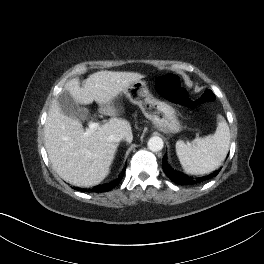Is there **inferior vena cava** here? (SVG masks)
<instances>
[{
    "mask_svg": "<svg viewBox=\"0 0 264 264\" xmlns=\"http://www.w3.org/2000/svg\"><path fill=\"white\" fill-rule=\"evenodd\" d=\"M122 139H124V137L120 134H111L108 136V140L111 142H119Z\"/></svg>",
    "mask_w": 264,
    "mask_h": 264,
    "instance_id": "1",
    "label": "inferior vena cava"
}]
</instances>
